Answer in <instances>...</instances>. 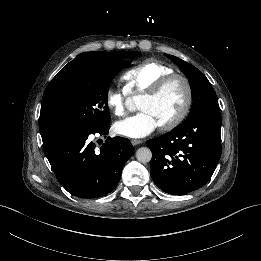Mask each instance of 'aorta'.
Here are the masks:
<instances>
[{"label":"aorta","instance_id":"aorta-1","mask_svg":"<svg viewBox=\"0 0 261 261\" xmlns=\"http://www.w3.org/2000/svg\"><path fill=\"white\" fill-rule=\"evenodd\" d=\"M136 159L140 163H148L152 159V152L148 147H141L136 151Z\"/></svg>","mask_w":261,"mask_h":261}]
</instances>
